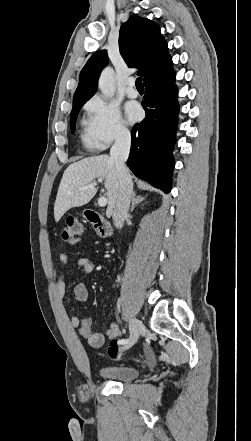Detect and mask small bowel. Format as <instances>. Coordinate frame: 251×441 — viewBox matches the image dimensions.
<instances>
[{
  "label": "small bowel",
  "instance_id": "small-bowel-1",
  "mask_svg": "<svg viewBox=\"0 0 251 441\" xmlns=\"http://www.w3.org/2000/svg\"><path fill=\"white\" fill-rule=\"evenodd\" d=\"M80 239L76 238L71 241L72 244L79 243ZM70 258L68 254L61 253L59 256V261L61 264H67ZM77 267L80 269L82 274H89L94 269L93 262L86 258L80 257L76 261ZM56 290L58 296L64 299L66 296V283L65 275H56ZM73 296L77 301L85 302L88 300L89 293L85 284L78 283L73 288ZM70 322L73 328L77 329L79 334L88 340L89 344L94 348H100L104 344L106 338H116L120 335L121 331L116 323H111L109 328L105 332H94L92 330V321L89 317L79 318L76 315L70 317ZM148 360H153V354L148 351L146 353Z\"/></svg>",
  "mask_w": 251,
  "mask_h": 441
}]
</instances>
